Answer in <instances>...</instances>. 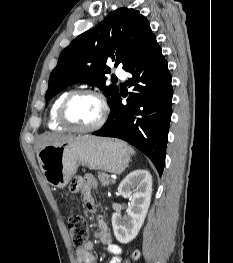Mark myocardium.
Wrapping results in <instances>:
<instances>
[{
	"instance_id": "1",
	"label": "myocardium",
	"mask_w": 233,
	"mask_h": 263,
	"mask_svg": "<svg viewBox=\"0 0 233 263\" xmlns=\"http://www.w3.org/2000/svg\"><path fill=\"white\" fill-rule=\"evenodd\" d=\"M82 96L94 97L99 101L101 105V115L99 117V120L94 125L89 126V127L76 126L67 117V108L70 105V103L74 99L82 97ZM108 112H109L108 103L105 97L101 93L94 91V90H89V89L78 90V91H74L68 94L61 102L59 109H58V121L65 128H68L70 130H73L76 132H82V133H91V132H95L99 130L104 125L107 119V116H108Z\"/></svg>"
}]
</instances>
